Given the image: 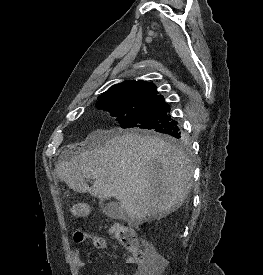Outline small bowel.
<instances>
[{"instance_id": "small-bowel-1", "label": "small bowel", "mask_w": 263, "mask_h": 275, "mask_svg": "<svg viewBox=\"0 0 263 275\" xmlns=\"http://www.w3.org/2000/svg\"><path fill=\"white\" fill-rule=\"evenodd\" d=\"M73 241L77 244L89 241L93 244V246L97 249L103 250L107 247V242L106 240L98 235L88 233L83 230H77L73 234ZM72 258L74 264L79 267L80 269H85L87 264L82 260L81 258V250L79 247H76L72 251ZM127 263L130 265H136L134 259L132 257L127 258ZM110 275V274H107ZM133 275H141L140 268H138Z\"/></svg>"}]
</instances>
